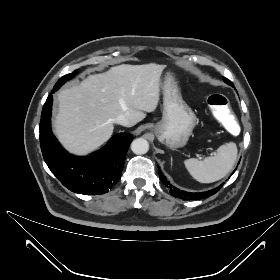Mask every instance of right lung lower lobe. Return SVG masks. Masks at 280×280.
Masks as SVG:
<instances>
[{
  "instance_id": "obj_1",
  "label": "right lung lower lobe",
  "mask_w": 280,
  "mask_h": 280,
  "mask_svg": "<svg viewBox=\"0 0 280 280\" xmlns=\"http://www.w3.org/2000/svg\"><path fill=\"white\" fill-rule=\"evenodd\" d=\"M52 100L50 94L44 104L39 124L40 145L47 166L72 192L85 195H101L109 192L121 177L133 136L126 133L118 134L89 157L73 156L61 147L51 131Z\"/></svg>"
}]
</instances>
